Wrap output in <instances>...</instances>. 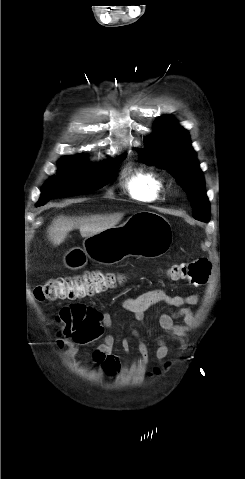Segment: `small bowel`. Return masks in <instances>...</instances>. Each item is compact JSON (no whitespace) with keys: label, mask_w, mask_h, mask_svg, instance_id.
Returning <instances> with one entry per match:
<instances>
[{"label":"small bowel","mask_w":245,"mask_h":479,"mask_svg":"<svg viewBox=\"0 0 245 479\" xmlns=\"http://www.w3.org/2000/svg\"><path fill=\"white\" fill-rule=\"evenodd\" d=\"M199 302L197 294L188 295H172L164 289H153L146 291L136 297H128L123 300L121 310L128 313L132 317L133 323H139L146 327L145 313L150 308L158 304H163L167 311L159 314L160 327L174 339L182 331V327L177 325V320H182L185 324L191 325L194 322V316L189 306L196 305ZM88 319L86 326L82 332L85 337L99 336L103 339V343L93 352V359L100 364L102 372L106 376H114L120 368L119 358L113 353L115 339L111 334L105 333V330L113 324L114 316L109 312H99L93 307H88ZM131 335L138 341V351L140 354V363L146 366L149 362L148 345L140 338L139 332L135 328H131ZM156 359L164 360L168 355V346L163 336L156 337ZM58 348L66 345L69 349L66 351V358L72 359L78 347L74 343H68L63 339L56 342ZM123 352L130 351V342L128 338H123L120 342ZM158 368H154L153 374L159 373Z\"/></svg>","instance_id":"c3829d8e"}]
</instances>
